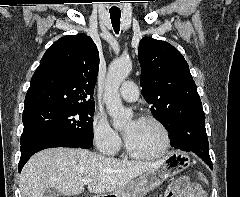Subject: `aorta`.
<instances>
[{
    "label": "aorta",
    "mask_w": 240,
    "mask_h": 197,
    "mask_svg": "<svg viewBox=\"0 0 240 197\" xmlns=\"http://www.w3.org/2000/svg\"><path fill=\"white\" fill-rule=\"evenodd\" d=\"M131 69L132 63L128 58L114 60L108 68L104 101L112 118L113 127L117 130L123 129L133 117L132 110L124 108L119 95V87Z\"/></svg>",
    "instance_id": "762f6f07"
}]
</instances>
